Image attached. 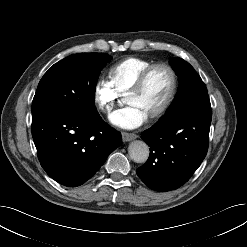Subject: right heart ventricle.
<instances>
[{"instance_id": "1", "label": "right heart ventricle", "mask_w": 247, "mask_h": 247, "mask_svg": "<svg viewBox=\"0 0 247 247\" xmlns=\"http://www.w3.org/2000/svg\"><path fill=\"white\" fill-rule=\"evenodd\" d=\"M151 64V61L139 57L125 58L110 68L109 83L119 95H124Z\"/></svg>"}]
</instances>
